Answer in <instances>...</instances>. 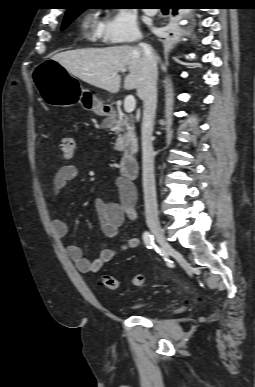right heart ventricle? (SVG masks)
Returning a JSON list of instances; mask_svg holds the SVG:
<instances>
[{"instance_id": "right-heart-ventricle-1", "label": "right heart ventricle", "mask_w": 255, "mask_h": 387, "mask_svg": "<svg viewBox=\"0 0 255 387\" xmlns=\"http://www.w3.org/2000/svg\"><path fill=\"white\" fill-rule=\"evenodd\" d=\"M102 22L94 15L87 16L82 24L86 36L91 40H96L100 37Z\"/></svg>"}]
</instances>
